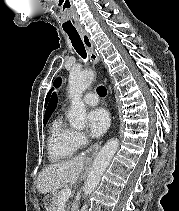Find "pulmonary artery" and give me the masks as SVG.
<instances>
[{
  "label": "pulmonary artery",
  "instance_id": "1",
  "mask_svg": "<svg viewBox=\"0 0 179 211\" xmlns=\"http://www.w3.org/2000/svg\"><path fill=\"white\" fill-rule=\"evenodd\" d=\"M83 102L89 106H96L99 102L98 96L92 92L86 93L83 96Z\"/></svg>",
  "mask_w": 179,
  "mask_h": 211
}]
</instances>
